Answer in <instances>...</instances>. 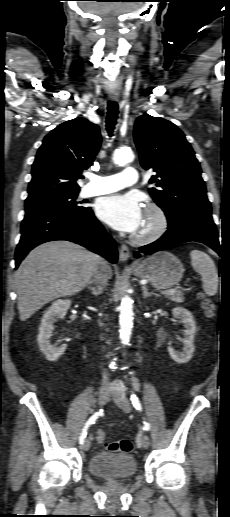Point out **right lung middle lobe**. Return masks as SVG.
Returning a JSON list of instances; mask_svg holds the SVG:
<instances>
[{"mask_svg":"<svg viewBox=\"0 0 230 517\" xmlns=\"http://www.w3.org/2000/svg\"><path fill=\"white\" fill-rule=\"evenodd\" d=\"M78 192L79 191L67 194L53 195L32 201H26L25 211L31 212L52 209L61 210L65 212H82L89 207L81 206L76 202Z\"/></svg>","mask_w":230,"mask_h":517,"instance_id":"1","label":"right lung middle lobe"}]
</instances>
